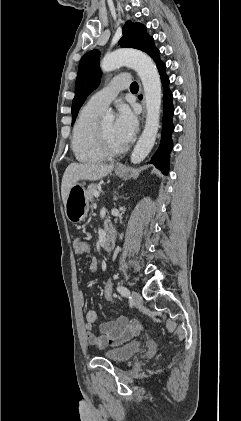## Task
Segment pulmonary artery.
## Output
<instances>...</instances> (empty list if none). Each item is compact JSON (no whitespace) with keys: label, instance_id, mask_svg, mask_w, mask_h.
<instances>
[{"label":"pulmonary artery","instance_id":"1","mask_svg":"<svg viewBox=\"0 0 241 421\" xmlns=\"http://www.w3.org/2000/svg\"><path fill=\"white\" fill-rule=\"evenodd\" d=\"M129 84L130 78L127 75L117 76L105 88L92 95L86 105L98 112H103L119 91L128 88Z\"/></svg>","mask_w":241,"mask_h":421}]
</instances>
